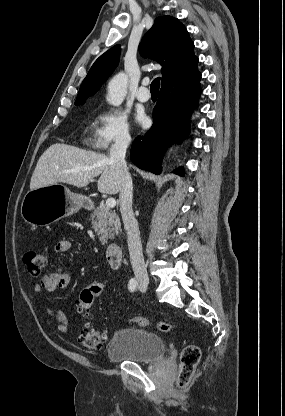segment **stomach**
I'll return each mask as SVG.
<instances>
[{"instance_id":"stomach-1","label":"stomach","mask_w":285,"mask_h":416,"mask_svg":"<svg viewBox=\"0 0 285 416\" xmlns=\"http://www.w3.org/2000/svg\"><path fill=\"white\" fill-rule=\"evenodd\" d=\"M83 206L80 196H75L63 184L30 190L21 204V216L28 224L48 226L61 218L73 216Z\"/></svg>"}]
</instances>
